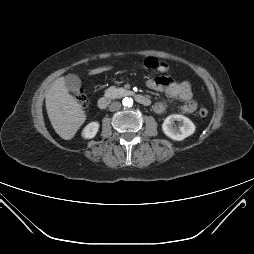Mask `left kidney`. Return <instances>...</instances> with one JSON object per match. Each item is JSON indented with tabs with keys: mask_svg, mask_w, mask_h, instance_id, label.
I'll return each instance as SVG.
<instances>
[{
	"mask_svg": "<svg viewBox=\"0 0 254 254\" xmlns=\"http://www.w3.org/2000/svg\"><path fill=\"white\" fill-rule=\"evenodd\" d=\"M179 122V126L174 125V121ZM163 132L173 140L181 141L195 132L194 123L187 117L180 114L169 115L162 124Z\"/></svg>",
	"mask_w": 254,
	"mask_h": 254,
	"instance_id": "obj_1",
	"label": "left kidney"
}]
</instances>
